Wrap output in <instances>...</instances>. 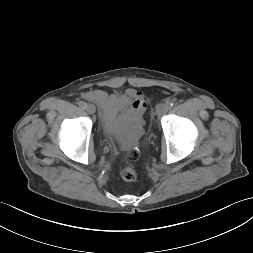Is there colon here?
<instances>
[{
    "instance_id": "5ec220e1",
    "label": "colon",
    "mask_w": 253,
    "mask_h": 253,
    "mask_svg": "<svg viewBox=\"0 0 253 253\" xmlns=\"http://www.w3.org/2000/svg\"><path fill=\"white\" fill-rule=\"evenodd\" d=\"M138 158V151L133 149L129 154L120 162L119 172L125 181H134L137 178L136 171L132 165V161Z\"/></svg>"
}]
</instances>
